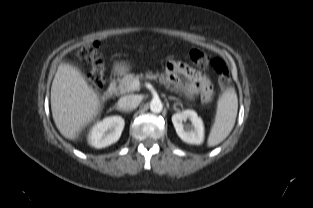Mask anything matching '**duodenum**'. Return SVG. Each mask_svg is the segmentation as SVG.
<instances>
[{
	"mask_svg": "<svg viewBox=\"0 0 313 208\" xmlns=\"http://www.w3.org/2000/svg\"><path fill=\"white\" fill-rule=\"evenodd\" d=\"M115 90L116 84L115 82H111L105 90V95L110 98L115 93Z\"/></svg>",
	"mask_w": 313,
	"mask_h": 208,
	"instance_id": "1",
	"label": "duodenum"
}]
</instances>
